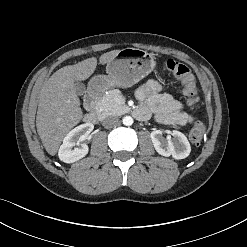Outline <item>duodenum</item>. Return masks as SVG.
<instances>
[{
    "label": "duodenum",
    "instance_id": "duodenum-1",
    "mask_svg": "<svg viewBox=\"0 0 247 247\" xmlns=\"http://www.w3.org/2000/svg\"><path fill=\"white\" fill-rule=\"evenodd\" d=\"M102 89L99 85L92 86L85 95V106L87 113L84 116L86 123L95 124L98 122V112L96 110L97 101L101 95Z\"/></svg>",
    "mask_w": 247,
    "mask_h": 247
}]
</instances>
